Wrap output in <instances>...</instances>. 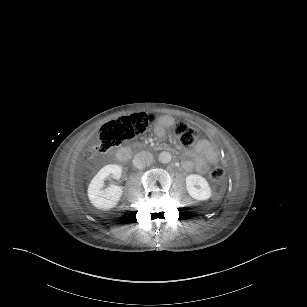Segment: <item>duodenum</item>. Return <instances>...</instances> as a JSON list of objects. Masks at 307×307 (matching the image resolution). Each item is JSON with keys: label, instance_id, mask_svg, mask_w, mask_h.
Segmentation results:
<instances>
[{"label": "duodenum", "instance_id": "obj_1", "mask_svg": "<svg viewBox=\"0 0 307 307\" xmlns=\"http://www.w3.org/2000/svg\"><path fill=\"white\" fill-rule=\"evenodd\" d=\"M129 156V150L127 147L120 148L114 152V158L119 162V163H124L127 161Z\"/></svg>", "mask_w": 307, "mask_h": 307}]
</instances>
